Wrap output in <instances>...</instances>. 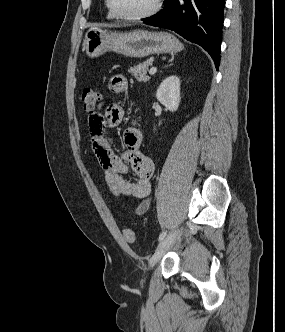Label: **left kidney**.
Wrapping results in <instances>:
<instances>
[{
  "instance_id": "1",
  "label": "left kidney",
  "mask_w": 285,
  "mask_h": 332,
  "mask_svg": "<svg viewBox=\"0 0 285 332\" xmlns=\"http://www.w3.org/2000/svg\"><path fill=\"white\" fill-rule=\"evenodd\" d=\"M156 97L166 109L176 111L181 100L179 77L172 75L165 78L157 89Z\"/></svg>"
}]
</instances>
